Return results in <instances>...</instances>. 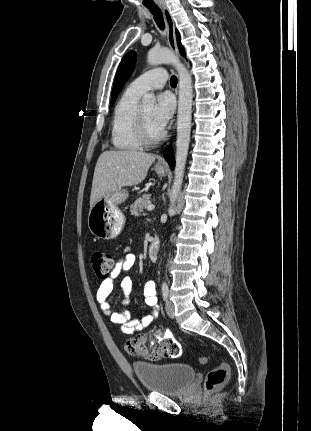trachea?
Masks as SVG:
<instances>
[{
  "mask_svg": "<svg viewBox=\"0 0 311 431\" xmlns=\"http://www.w3.org/2000/svg\"><path fill=\"white\" fill-rule=\"evenodd\" d=\"M148 8L154 17L156 24L158 25L160 30L163 31L165 29V23H164V19H163V15H162L161 10L159 9V7H153V8L148 7ZM177 83H178L177 77L175 75H172V77L170 79L171 86H176Z\"/></svg>",
  "mask_w": 311,
  "mask_h": 431,
  "instance_id": "trachea-1",
  "label": "trachea"
}]
</instances>
